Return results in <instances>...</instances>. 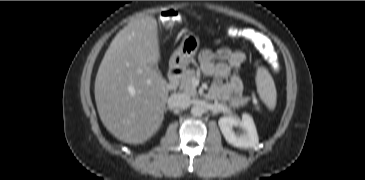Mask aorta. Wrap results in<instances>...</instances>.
<instances>
[{
	"instance_id": "762f6f07",
	"label": "aorta",
	"mask_w": 365,
	"mask_h": 180,
	"mask_svg": "<svg viewBox=\"0 0 365 180\" xmlns=\"http://www.w3.org/2000/svg\"><path fill=\"white\" fill-rule=\"evenodd\" d=\"M204 112V109L202 106L196 104V105H193L192 108H191V114L193 116H201Z\"/></svg>"
}]
</instances>
